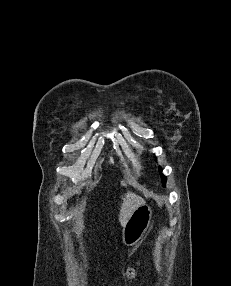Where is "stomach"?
<instances>
[{
	"label": "stomach",
	"instance_id": "stomach-1",
	"mask_svg": "<svg viewBox=\"0 0 231 286\" xmlns=\"http://www.w3.org/2000/svg\"><path fill=\"white\" fill-rule=\"evenodd\" d=\"M152 209L143 204L132 214L122 231V242L126 246H133L138 243L150 226Z\"/></svg>",
	"mask_w": 231,
	"mask_h": 286
}]
</instances>
